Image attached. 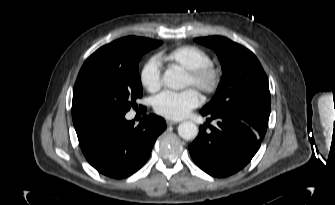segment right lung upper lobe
Here are the masks:
<instances>
[{"mask_svg":"<svg viewBox=\"0 0 335 205\" xmlns=\"http://www.w3.org/2000/svg\"><path fill=\"white\" fill-rule=\"evenodd\" d=\"M90 57L85 61V63L83 64V66L89 61Z\"/></svg>","mask_w":335,"mask_h":205,"instance_id":"obj_1","label":"right lung upper lobe"}]
</instances>
